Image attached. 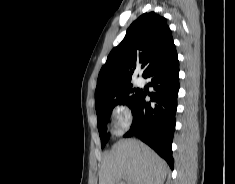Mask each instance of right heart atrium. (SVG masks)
I'll return each instance as SVG.
<instances>
[{"instance_id":"obj_1","label":"right heart atrium","mask_w":235,"mask_h":184,"mask_svg":"<svg viewBox=\"0 0 235 184\" xmlns=\"http://www.w3.org/2000/svg\"><path fill=\"white\" fill-rule=\"evenodd\" d=\"M132 122V112L124 103H117L111 111V124L109 133L111 136L119 137L123 135Z\"/></svg>"}]
</instances>
